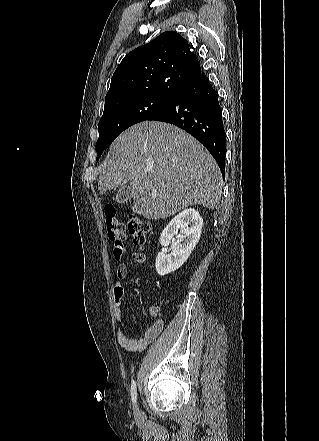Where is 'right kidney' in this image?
<instances>
[{
  "label": "right kidney",
  "instance_id": "right-kidney-1",
  "mask_svg": "<svg viewBox=\"0 0 319 441\" xmlns=\"http://www.w3.org/2000/svg\"><path fill=\"white\" fill-rule=\"evenodd\" d=\"M203 219L195 209H187L175 216L164 228L160 244L164 247L156 257V271L164 276L180 268L190 256L200 239ZM180 230V234H177ZM176 235V238L174 236ZM171 254L166 247L171 243Z\"/></svg>",
  "mask_w": 319,
  "mask_h": 441
}]
</instances>
